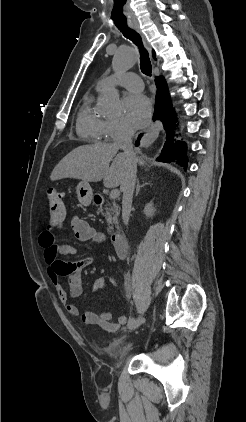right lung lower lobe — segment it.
<instances>
[{
  "label": "right lung lower lobe",
  "instance_id": "right-lung-lower-lobe-1",
  "mask_svg": "<svg viewBox=\"0 0 246 422\" xmlns=\"http://www.w3.org/2000/svg\"><path fill=\"white\" fill-rule=\"evenodd\" d=\"M155 84L157 86V94L155 98L153 120H161L166 132V141L159 157L156 160L167 163L175 162L186 168L188 166V159L186 156L185 143L182 141H176L173 143L174 129L177 126V118L175 116L174 109L172 108L166 82L163 77H157L155 79ZM140 137L141 134L135 143L136 146L139 145Z\"/></svg>",
  "mask_w": 246,
  "mask_h": 422
}]
</instances>
